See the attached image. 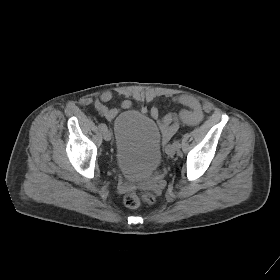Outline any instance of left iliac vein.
Masks as SVG:
<instances>
[{"label":"left iliac vein","instance_id":"1","mask_svg":"<svg viewBox=\"0 0 280 280\" xmlns=\"http://www.w3.org/2000/svg\"><path fill=\"white\" fill-rule=\"evenodd\" d=\"M176 150H177V148L174 145H171V144L166 147V153L169 156H173L176 153Z\"/></svg>","mask_w":280,"mask_h":280}]
</instances>
